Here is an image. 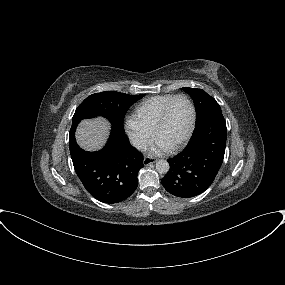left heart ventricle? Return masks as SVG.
Wrapping results in <instances>:
<instances>
[{"instance_id":"obj_1","label":"left heart ventricle","mask_w":285,"mask_h":285,"mask_svg":"<svg viewBox=\"0 0 285 285\" xmlns=\"http://www.w3.org/2000/svg\"><path fill=\"white\" fill-rule=\"evenodd\" d=\"M191 110L184 99H177L170 107L167 119L160 128L157 137L170 147L180 142L188 131Z\"/></svg>"}]
</instances>
